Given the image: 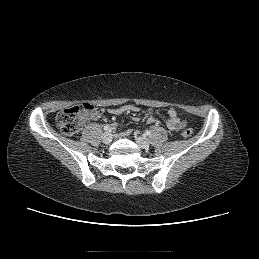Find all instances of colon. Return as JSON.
<instances>
[{"label": "colon", "instance_id": "colon-1", "mask_svg": "<svg viewBox=\"0 0 259 259\" xmlns=\"http://www.w3.org/2000/svg\"><path fill=\"white\" fill-rule=\"evenodd\" d=\"M95 111V107L91 104L75 105L61 110L56 116V125L60 131L68 136L76 135L84 120ZM193 130L186 127L182 131V135L186 138L191 137Z\"/></svg>", "mask_w": 259, "mask_h": 259}]
</instances>
